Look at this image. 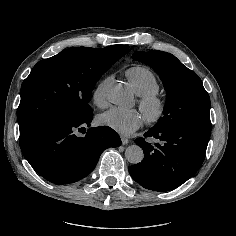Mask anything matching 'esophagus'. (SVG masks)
I'll use <instances>...</instances> for the list:
<instances>
[{
    "label": "esophagus",
    "instance_id": "esophagus-1",
    "mask_svg": "<svg viewBox=\"0 0 236 236\" xmlns=\"http://www.w3.org/2000/svg\"><path fill=\"white\" fill-rule=\"evenodd\" d=\"M121 141H122L123 145H125L129 142L128 138H126L125 136H121Z\"/></svg>",
    "mask_w": 236,
    "mask_h": 236
}]
</instances>
